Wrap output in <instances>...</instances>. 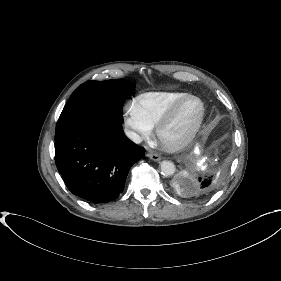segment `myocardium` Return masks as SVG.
<instances>
[{
  "label": "myocardium",
  "mask_w": 281,
  "mask_h": 281,
  "mask_svg": "<svg viewBox=\"0 0 281 281\" xmlns=\"http://www.w3.org/2000/svg\"><path fill=\"white\" fill-rule=\"evenodd\" d=\"M189 101H196L199 105L198 117L190 128V130L181 138L170 141L166 139L165 132L168 127L173 123L181 108ZM205 117V104L203 100L195 95H186L181 100L176 102L160 120L156 126V138L159 145L166 151L176 152L186 147L198 133Z\"/></svg>",
  "instance_id": "f54148a6"
}]
</instances>
